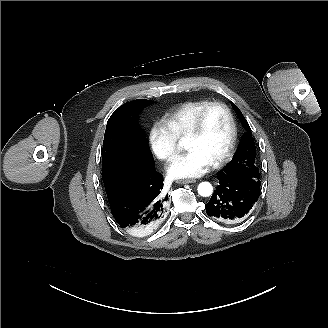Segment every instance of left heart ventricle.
I'll list each match as a JSON object with an SVG mask.
<instances>
[{
  "mask_svg": "<svg viewBox=\"0 0 328 328\" xmlns=\"http://www.w3.org/2000/svg\"><path fill=\"white\" fill-rule=\"evenodd\" d=\"M231 136L232 127L227 113L221 108H214L208 113L200 133L183 141V147L198 150L213 163L225 153Z\"/></svg>",
  "mask_w": 328,
  "mask_h": 328,
  "instance_id": "b2bd125f",
  "label": "left heart ventricle"
}]
</instances>
